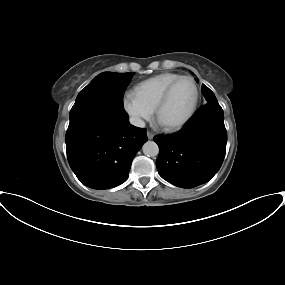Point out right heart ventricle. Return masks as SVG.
<instances>
[{
	"label": "right heart ventricle",
	"instance_id": "right-heart-ventricle-1",
	"mask_svg": "<svg viewBox=\"0 0 285 285\" xmlns=\"http://www.w3.org/2000/svg\"><path fill=\"white\" fill-rule=\"evenodd\" d=\"M179 76L180 74L171 72L158 74L138 83L133 94L142 104L154 110L167 86Z\"/></svg>",
	"mask_w": 285,
	"mask_h": 285
}]
</instances>
